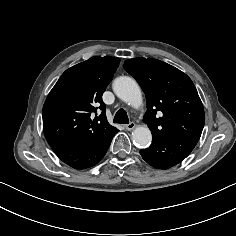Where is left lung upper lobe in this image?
Listing matches in <instances>:
<instances>
[{
  "label": "left lung upper lobe",
  "instance_id": "1",
  "mask_svg": "<svg viewBox=\"0 0 236 236\" xmlns=\"http://www.w3.org/2000/svg\"><path fill=\"white\" fill-rule=\"evenodd\" d=\"M124 69L132 75L145 93L147 111L143 121L153 139H199L205 114L198 92L182 71L152 58L126 60Z\"/></svg>",
  "mask_w": 236,
  "mask_h": 236
}]
</instances>
